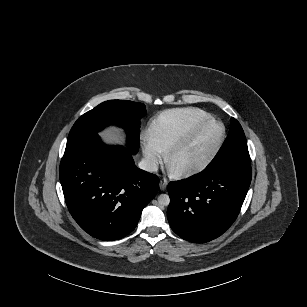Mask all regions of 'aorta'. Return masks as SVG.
Segmentation results:
<instances>
[{
    "mask_svg": "<svg viewBox=\"0 0 307 307\" xmlns=\"http://www.w3.org/2000/svg\"><path fill=\"white\" fill-rule=\"evenodd\" d=\"M158 203L162 206H168L170 203V198L167 194H161L158 196Z\"/></svg>",
    "mask_w": 307,
    "mask_h": 307,
    "instance_id": "762f6f07",
    "label": "aorta"
}]
</instances>
